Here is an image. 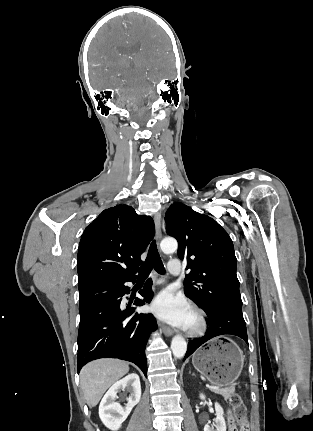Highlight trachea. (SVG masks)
<instances>
[{"instance_id": "3493384b", "label": "trachea", "mask_w": 313, "mask_h": 431, "mask_svg": "<svg viewBox=\"0 0 313 431\" xmlns=\"http://www.w3.org/2000/svg\"><path fill=\"white\" fill-rule=\"evenodd\" d=\"M153 268L160 274L165 273V268L158 253L155 241H152L149 247L148 256L145 263L139 268L138 278L145 280Z\"/></svg>"}]
</instances>
